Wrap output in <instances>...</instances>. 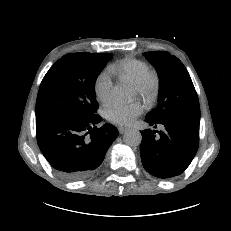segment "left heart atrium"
Segmentation results:
<instances>
[{
  "mask_svg": "<svg viewBox=\"0 0 231 231\" xmlns=\"http://www.w3.org/2000/svg\"><path fill=\"white\" fill-rule=\"evenodd\" d=\"M143 111L144 107L140 102L130 104L113 102L106 109V117L112 123L130 125Z\"/></svg>",
  "mask_w": 231,
  "mask_h": 231,
  "instance_id": "obj_1",
  "label": "left heart atrium"
}]
</instances>
